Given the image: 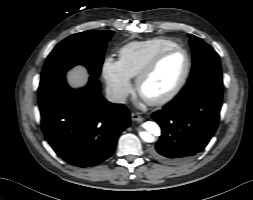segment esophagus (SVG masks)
Here are the masks:
<instances>
[{"instance_id":"obj_1","label":"esophagus","mask_w":253,"mask_h":200,"mask_svg":"<svg viewBox=\"0 0 253 200\" xmlns=\"http://www.w3.org/2000/svg\"><path fill=\"white\" fill-rule=\"evenodd\" d=\"M131 119L133 121H136V122H142L143 121V118L137 113H132L131 114Z\"/></svg>"}]
</instances>
